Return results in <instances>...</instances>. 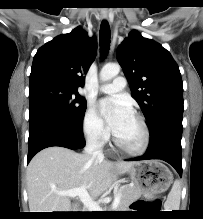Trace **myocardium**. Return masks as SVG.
I'll list each match as a JSON object with an SVG mask.
<instances>
[{
  "mask_svg": "<svg viewBox=\"0 0 203 219\" xmlns=\"http://www.w3.org/2000/svg\"><path fill=\"white\" fill-rule=\"evenodd\" d=\"M132 115L137 119V121L139 122L141 128H142V132H143V139L141 144L136 147V148H130L126 145H124L123 143H121L118 138L116 137L115 134H113V142L116 145V147L121 150L122 152L131 155V156H141L143 155L150 144V131H149V127L144 119V117L142 115H140L137 112H132Z\"/></svg>",
  "mask_w": 203,
  "mask_h": 219,
  "instance_id": "1",
  "label": "myocardium"
}]
</instances>
